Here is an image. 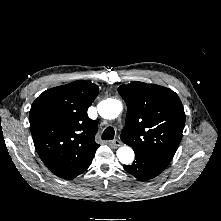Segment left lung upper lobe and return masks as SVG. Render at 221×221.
<instances>
[{"label": "left lung upper lobe", "instance_id": "left-lung-upper-lobe-1", "mask_svg": "<svg viewBox=\"0 0 221 221\" xmlns=\"http://www.w3.org/2000/svg\"><path fill=\"white\" fill-rule=\"evenodd\" d=\"M127 104L121 140L133 150L172 160L182 138L185 113L169 88L135 81L118 88Z\"/></svg>", "mask_w": 221, "mask_h": 221}]
</instances>
